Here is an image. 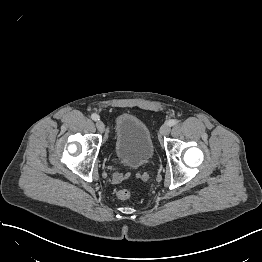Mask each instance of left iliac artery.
<instances>
[{"label": "left iliac artery", "mask_w": 262, "mask_h": 262, "mask_svg": "<svg viewBox=\"0 0 262 262\" xmlns=\"http://www.w3.org/2000/svg\"><path fill=\"white\" fill-rule=\"evenodd\" d=\"M178 123V121L176 120V119H171V120H169L168 122H167V124L169 125V126H174V125H176Z\"/></svg>", "instance_id": "44dca946"}]
</instances>
